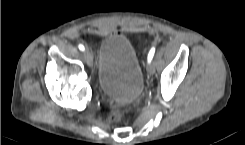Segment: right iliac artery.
I'll list each match as a JSON object with an SVG mask.
<instances>
[{"mask_svg": "<svg viewBox=\"0 0 245 145\" xmlns=\"http://www.w3.org/2000/svg\"><path fill=\"white\" fill-rule=\"evenodd\" d=\"M78 47H79V49H80L81 51H84V50H85V48H84V46H83L82 44H80Z\"/></svg>", "mask_w": 245, "mask_h": 145, "instance_id": "obj_1", "label": "right iliac artery"}]
</instances>
